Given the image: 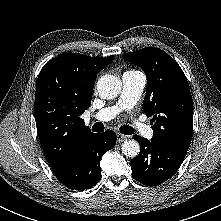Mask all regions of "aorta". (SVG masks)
Listing matches in <instances>:
<instances>
[{"label": "aorta", "mask_w": 221, "mask_h": 221, "mask_svg": "<svg viewBox=\"0 0 221 221\" xmlns=\"http://www.w3.org/2000/svg\"><path fill=\"white\" fill-rule=\"evenodd\" d=\"M121 80L113 75H104L97 82V90L103 99H114L121 91ZM126 157L134 158L140 152L139 143L136 140L124 141L121 147Z\"/></svg>", "instance_id": "1"}]
</instances>
